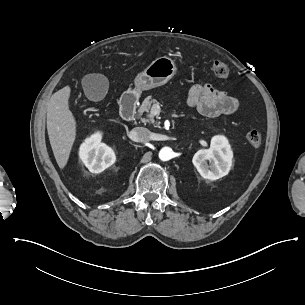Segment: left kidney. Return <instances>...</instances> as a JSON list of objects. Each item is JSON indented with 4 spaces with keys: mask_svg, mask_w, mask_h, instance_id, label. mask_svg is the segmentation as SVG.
<instances>
[{
    "mask_svg": "<svg viewBox=\"0 0 305 305\" xmlns=\"http://www.w3.org/2000/svg\"><path fill=\"white\" fill-rule=\"evenodd\" d=\"M232 158L233 152L228 139L223 135H216L211 139V147L197 151L192 162L203 178L213 181L229 173ZM207 160L211 161L209 165Z\"/></svg>",
    "mask_w": 305,
    "mask_h": 305,
    "instance_id": "obj_1",
    "label": "left kidney"
}]
</instances>
